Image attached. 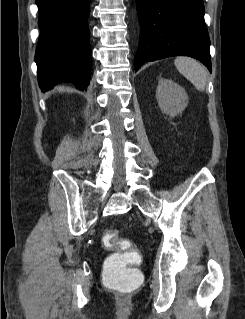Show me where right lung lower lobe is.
Wrapping results in <instances>:
<instances>
[{
  "label": "right lung lower lobe",
  "instance_id": "1",
  "mask_svg": "<svg viewBox=\"0 0 245 319\" xmlns=\"http://www.w3.org/2000/svg\"><path fill=\"white\" fill-rule=\"evenodd\" d=\"M40 37L35 62L43 92L61 82L86 89L90 81L89 0H36Z\"/></svg>",
  "mask_w": 245,
  "mask_h": 319
}]
</instances>
